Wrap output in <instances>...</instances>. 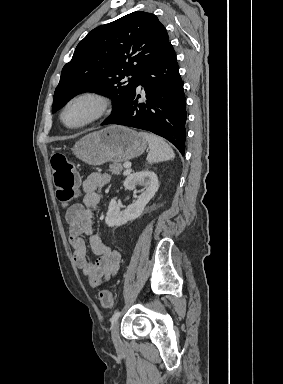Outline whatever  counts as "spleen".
Wrapping results in <instances>:
<instances>
[{
    "label": "spleen",
    "instance_id": "1",
    "mask_svg": "<svg viewBox=\"0 0 283 384\" xmlns=\"http://www.w3.org/2000/svg\"><path fill=\"white\" fill-rule=\"evenodd\" d=\"M140 136L149 144L150 152L147 156L149 164L166 162V160H173L175 158L172 148L164 142L163 138H158L154 134H146V132H140Z\"/></svg>",
    "mask_w": 283,
    "mask_h": 384
}]
</instances>
